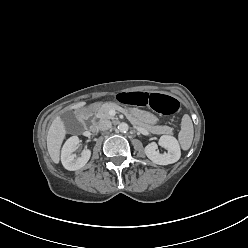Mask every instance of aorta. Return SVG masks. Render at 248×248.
I'll list each match as a JSON object with an SVG mask.
<instances>
[{
    "label": "aorta",
    "mask_w": 248,
    "mask_h": 248,
    "mask_svg": "<svg viewBox=\"0 0 248 248\" xmlns=\"http://www.w3.org/2000/svg\"><path fill=\"white\" fill-rule=\"evenodd\" d=\"M128 129H129V126H128V124L125 123V122H122V123H120V124L118 125V130H119L120 132L125 133V132L128 131Z\"/></svg>",
    "instance_id": "aorta-1"
}]
</instances>
